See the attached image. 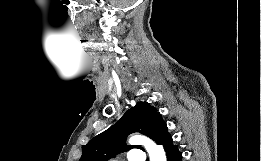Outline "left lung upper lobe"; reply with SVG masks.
Segmentation results:
<instances>
[{"label": "left lung upper lobe", "mask_w": 261, "mask_h": 161, "mask_svg": "<svg viewBox=\"0 0 261 161\" xmlns=\"http://www.w3.org/2000/svg\"><path fill=\"white\" fill-rule=\"evenodd\" d=\"M134 132L150 137L157 144L169 135L167 125L156 108L148 102H138L116 124L83 145L80 161H107L120 152L140 148L125 143L126 137Z\"/></svg>", "instance_id": "obj_1"}]
</instances>
